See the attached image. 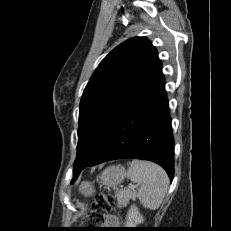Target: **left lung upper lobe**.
I'll list each match as a JSON object with an SVG mask.
<instances>
[{
	"label": "left lung upper lobe",
	"instance_id": "obj_1",
	"mask_svg": "<svg viewBox=\"0 0 231 231\" xmlns=\"http://www.w3.org/2000/svg\"><path fill=\"white\" fill-rule=\"evenodd\" d=\"M158 61L145 37L124 41L102 60L81 98L74 169L85 164L109 123Z\"/></svg>",
	"mask_w": 231,
	"mask_h": 231
}]
</instances>
